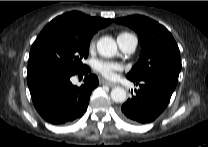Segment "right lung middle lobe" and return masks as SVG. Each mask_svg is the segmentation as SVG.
Returning <instances> with one entry per match:
<instances>
[{
	"label": "right lung middle lobe",
	"instance_id": "right-lung-middle-lobe-1",
	"mask_svg": "<svg viewBox=\"0 0 208 147\" xmlns=\"http://www.w3.org/2000/svg\"><path fill=\"white\" fill-rule=\"evenodd\" d=\"M89 37L67 30H53L40 34L33 43L28 62V72L42 69L80 71L87 66Z\"/></svg>",
	"mask_w": 208,
	"mask_h": 147
}]
</instances>
